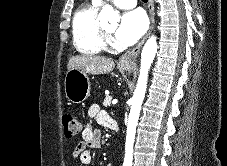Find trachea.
<instances>
[{"instance_id": "trachea-1", "label": "trachea", "mask_w": 227, "mask_h": 166, "mask_svg": "<svg viewBox=\"0 0 227 166\" xmlns=\"http://www.w3.org/2000/svg\"><path fill=\"white\" fill-rule=\"evenodd\" d=\"M143 2H147L148 0H142Z\"/></svg>"}]
</instances>
